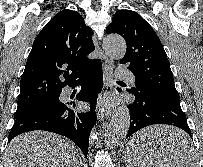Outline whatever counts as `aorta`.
I'll return each mask as SVG.
<instances>
[{
    "label": "aorta",
    "instance_id": "aorta-1",
    "mask_svg": "<svg viewBox=\"0 0 203 167\" xmlns=\"http://www.w3.org/2000/svg\"><path fill=\"white\" fill-rule=\"evenodd\" d=\"M103 48L106 54L115 60H120L126 52L125 40L119 35H108L104 39ZM130 126V113L126 106H121L113 115L105 133V147L112 148L126 136Z\"/></svg>",
    "mask_w": 203,
    "mask_h": 167
}]
</instances>
